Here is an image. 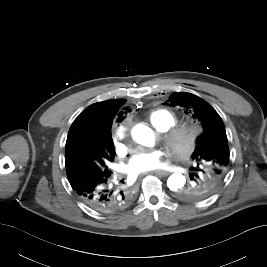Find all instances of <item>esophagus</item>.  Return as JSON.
<instances>
[{"mask_svg": "<svg viewBox=\"0 0 267 267\" xmlns=\"http://www.w3.org/2000/svg\"><path fill=\"white\" fill-rule=\"evenodd\" d=\"M152 173L163 177L168 176L170 174V172L164 170H155Z\"/></svg>", "mask_w": 267, "mask_h": 267, "instance_id": "1", "label": "esophagus"}]
</instances>
